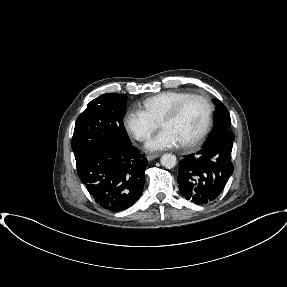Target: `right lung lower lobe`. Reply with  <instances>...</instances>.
<instances>
[{
  "label": "right lung lower lobe",
  "mask_w": 287,
  "mask_h": 287,
  "mask_svg": "<svg viewBox=\"0 0 287 287\" xmlns=\"http://www.w3.org/2000/svg\"><path fill=\"white\" fill-rule=\"evenodd\" d=\"M75 159L80 180L101 207L118 212L140 198L147 159L134 146L96 145Z\"/></svg>",
  "instance_id": "98d812e1"
}]
</instances>
